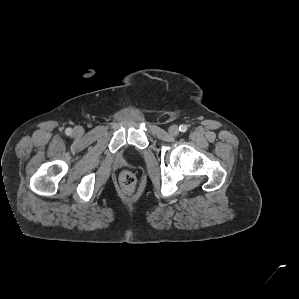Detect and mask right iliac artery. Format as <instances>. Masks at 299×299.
Instances as JSON below:
<instances>
[{
    "mask_svg": "<svg viewBox=\"0 0 299 299\" xmlns=\"http://www.w3.org/2000/svg\"><path fill=\"white\" fill-rule=\"evenodd\" d=\"M65 132H66L67 135H71L72 129L71 128H67Z\"/></svg>",
    "mask_w": 299,
    "mask_h": 299,
    "instance_id": "right-iliac-artery-1",
    "label": "right iliac artery"
}]
</instances>
